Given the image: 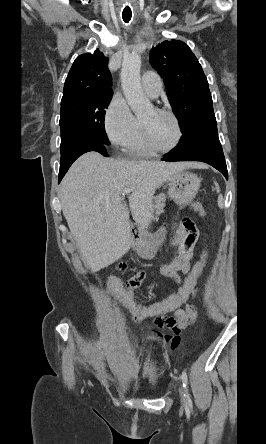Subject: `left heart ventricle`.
<instances>
[{
  "label": "left heart ventricle",
  "instance_id": "obj_1",
  "mask_svg": "<svg viewBox=\"0 0 266 444\" xmlns=\"http://www.w3.org/2000/svg\"><path fill=\"white\" fill-rule=\"evenodd\" d=\"M141 121L147 127L149 136L156 146L166 149L174 143L177 130L171 117L151 109L141 117Z\"/></svg>",
  "mask_w": 266,
  "mask_h": 444
}]
</instances>
